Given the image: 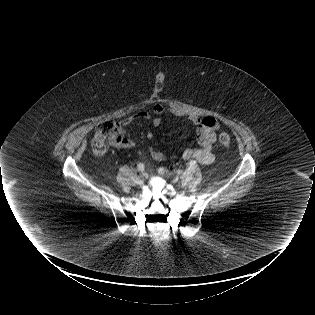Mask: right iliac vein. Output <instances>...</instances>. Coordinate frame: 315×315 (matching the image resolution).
<instances>
[{
    "label": "right iliac vein",
    "instance_id": "right-iliac-vein-1",
    "mask_svg": "<svg viewBox=\"0 0 315 315\" xmlns=\"http://www.w3.org/2000/svg\"><path fill=\"white\" fill-rule=\"evenodd\" d=\"M147 179V174L146 173H142L141 175L138 176L137 178V182L138 184L142 185Z\"/></svg>",
    "mask_w": 315,
    "mask_h": 315
}]
</instances>
